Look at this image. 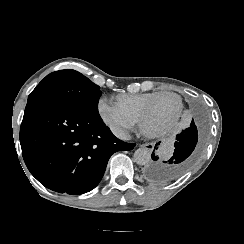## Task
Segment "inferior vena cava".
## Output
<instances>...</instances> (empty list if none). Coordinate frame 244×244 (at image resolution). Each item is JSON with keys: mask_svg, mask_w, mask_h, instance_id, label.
<instances>
[{"mask_svg": "<svg viewBox=\"0 0 244 244\" xmlns=\"http://www.w3.org/2000/svg\"><path fill=\"white\" fill-rule=\"evenodd\" d=\"M112 132L117 138H119L121 140H128L127 133L123 129L113 128Z\"/></svg>", "mask_w": 244, "mask_h": 244, "instance_id": "obj_1", "label": "inferior vena cava"}]
</instances>
